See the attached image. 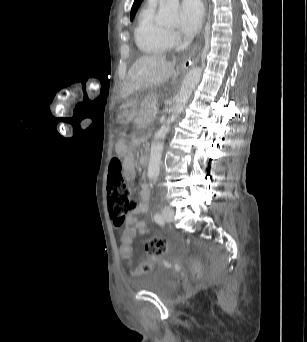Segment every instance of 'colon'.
<instances>
[{"instance_id":"colon-1","label":"colon","mask_w":307,"mask_h":342,"mask_svg":"<svg viewBox=\"0 0 307 342\" xmlns=\"http://www.w3.org/2000/svg\"><path fill=\"white\" fill-rule=\"evenodd\" d=\"M108 202L109 208L113 217V222L116 227H121L128 213H131L136 208V202L132 198L129 188L125 183L121 167L116 158H113L107 177ZM125 238L119 243L120 254H133V240L135 232L132 226L124 227ZM144 250L150 257H159L164 253H170L173 249L169 242L160 237H153L147 240L144 244ZM187 268H190L192 276H205L206 267L198 266L196 261H187ZM152 270V263L144 261L134 268V275H145Z\"/></svg>"}]
</instances>
